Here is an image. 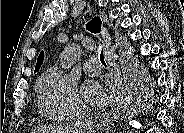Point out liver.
Listing matches in <instances>:
<instances>
[{
    "label": "liver",
    "instance_id": "liver-1",
    "mask_svg": "<svg viewBox=\"0 0 184 133\" xmlns=\"http://www.w3.org/2000/svg\"><path fill=\"white\" fill-rule=\"evenodd\" d=\"M34 133H76L72 127H40L34 130Z\"/></svg>",
    "mask_w": 184,
    "mask_h": 133
}]
</instances>
